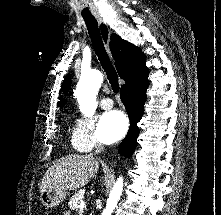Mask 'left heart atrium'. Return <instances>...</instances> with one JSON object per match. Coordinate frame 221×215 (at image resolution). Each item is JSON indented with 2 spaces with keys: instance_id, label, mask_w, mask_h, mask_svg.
<instances>
[{
  "instance_id": "left-heart-atrium-1",
  "label": "left heart atrium",
  "mask_w": 221,
  "mask_h": 215,
  "mask_svg": "<svg viewBox=\"0 0 221 215\" xmlns=\"http://www.w3.org/2000/svg\"><path fill=\"white\" fill-rule=\"evenodd\" d=\"M98 129L104 141L115 142L127 132L128 119L123 112L112 110L102 115Z\"/></svg>"
}]
</instances>
